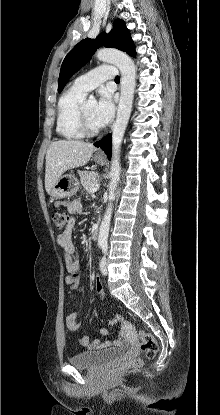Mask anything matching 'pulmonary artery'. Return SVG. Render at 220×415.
Returning a JSON list of instances; mask_svg holds the SVG:
<instances>
[{
	"mask_svg": "<svg viewBox=\"0 0 220 415\" xmlns=\"http://www.w3.org/2000/svg\"><path fill=\"white\" fill-rule=\"evenodd\" d=\"M117 75V68L112 65H101L90 72L77 77L73 83L76 89L88 93L106 80Z\"/></svg>",
	"mask_w": 220,
	"mask_h": 415,
	"instance_id": "1",
	"label": "pulmonary artery"
}]
</instances>
